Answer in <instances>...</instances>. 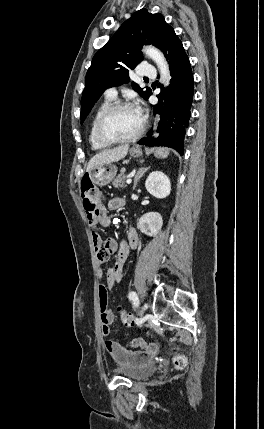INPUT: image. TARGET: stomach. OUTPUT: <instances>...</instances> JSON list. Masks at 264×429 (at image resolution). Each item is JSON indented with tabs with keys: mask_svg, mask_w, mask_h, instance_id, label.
<instances>
[{
	"mask_svg": "<svg viewBox=\"0 0 264 429\" xmlns=\"http://www.w3.org/2000/svg\"><path fill=\"white\" fill-rule=\"evenodd\" d=\"M142 150L140 148H132L130 150V155L134 158L142 156ZM169 154L166 148H156L154 150V155L157 158H165ZM117 168L115 165L107 163L95 166L84 176L90 179L93 184L104 186L109 184L115 177Z\"/></svg>",
	"mask_w": 264,
	"mask_h": 429,
	"instance_id": "obj_1",
	"label": "stomach"
}]
</instances>
